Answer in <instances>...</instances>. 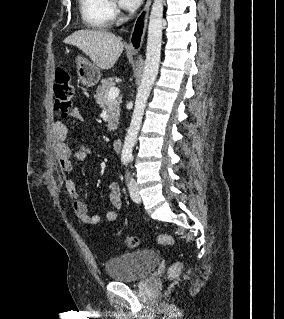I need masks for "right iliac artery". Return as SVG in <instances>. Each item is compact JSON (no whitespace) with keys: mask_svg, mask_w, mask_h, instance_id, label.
I'll use <instances>...</instances> for the list:
<instances>
[{"mask_svg":"<svg viewBox=\"0 0 284 319\" xmlns=\"http://www.w3.org/2000/svg\"><path fill=\"white\" fill-rule=\"evenodd\" d=\"M122 162H123V164H125V163H126V160H123Z\"/></svg>","mask_w":284,"mask_h":319,"instance_id":"right-iliac-artery-1","label":"right iliac artery"}]
</instances>
